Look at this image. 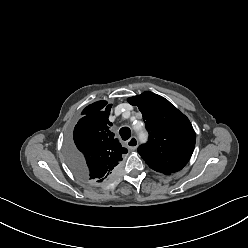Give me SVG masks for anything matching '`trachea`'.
<instances>
[{"label": "trachea", "mask_w": 248, "mask_h": 248, "mask_svg": "<svg viewBox=\"0 0 248 248\" xmlns=\"http://www.w3.org/2000/svg\"><path fill=\"white\" fill-rule=\"evenodd\" d=\"M119 134L123 140H128L131 137V130L128 127H122Z\"/></svg>", "instance_id": "3493384b"}]
</instances>
